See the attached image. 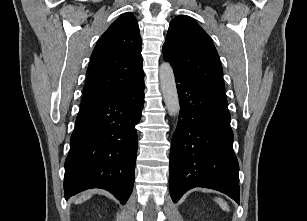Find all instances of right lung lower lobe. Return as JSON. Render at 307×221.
I'll return each instance as SVG.
<instances>
[{"label": "right lung lower lobe", "mask_w": 307, "mask_h": 221, "mask_svg": "<svg viewBox=\"0 0 307 221\" xmlns=\"http://www.w3.org/2000/svg\"><path fill=\"white\" fill-rule=\"evenodd\" d=\"M144 80L135 87L82 106L65 161L64 197L106 189L125 204L134 185Z\"/></svg>", "instance_id": "1"}]
</instances>
